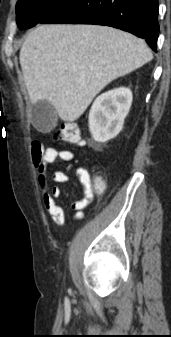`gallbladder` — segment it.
Listing matches in <instances>:
<instances>
[{
	"instance_id": "1",
	"label": "gallbladder",
	"mask_w": 171,
	"mask_h": 337,
	"mask_svg": "<svg viewBox=\"0 0 171 337\" xmlns=\"http://www.w3.org/2000/svg\"><path fill=\"white\" fill-rule=\"evenodd\" d=\"M58 115L51 103L46 100L36 102L32 107V124L42 132H48L57 123Z\"/></svg>"
}]
</instances>
